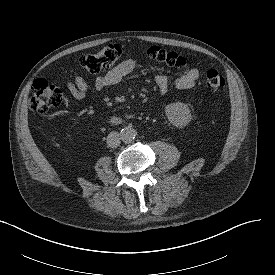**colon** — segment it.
Instances as JSON below:
<instances>
[{
  "mask_svg": "<svg viewBox=\"0 0 275 275\" xmlns=\"http://www.w3.org/2000/svg\"><path fill=\"white\" fill-rule=\"evenodd\" d=\"M146 54L156 61L175 68H183L187 64L183 55L156 45L149 46ZM121 56V46L109 44L94 53L83 55L80 58V63L89 72L99 73L115 65ZM205 85L209 91L219 92L225 86V79L216 69H210L205 76ZM62 100L63 93L58 87L45 79H36L34 81L30 105L35 113L44 114L51 107L58 106Z\"/></svg>",
  "mask_w": 275,
  "mask_h": 275,
  "instance_id": "5ec220e1",
  "label": "colon"
}]
</instances>
